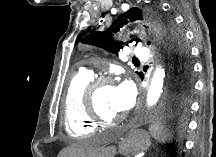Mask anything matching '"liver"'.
<instances>
[{"label":"liver","instance_id":"6515ba94","mask_svg":"<svg viewBox=\"0 0 216 157\" xmlns=\"http://www.w3.org/2000/svg\"><path fill=\"white\" fill-rule=\"evenodd\" d=\"M112 154V148H95L88 142H80L62 150L58 157H105Z\"/></svg>","mask_w":216,"mask_h":157}]
</instances>
